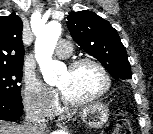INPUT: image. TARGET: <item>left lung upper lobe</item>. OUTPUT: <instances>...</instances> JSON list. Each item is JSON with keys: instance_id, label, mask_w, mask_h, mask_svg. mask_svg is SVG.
Masks as SVG:
<instances>
[{"instance_id": "obj_1", "label": "left lung upper lobe", "mask_w": 153, "mask_h": 134, "mask_svg": "<svg viewBox=\"0 0 153 134\" xmlns=\"http://www.w3.org/2000/svg\"><path fill=\"white\" fill-rule=\"evenodd\" d=\"M67 20L75 42L99 60L114 79H132L126 49L107 20L86 10L70 13Z\"/></svg>"}]
</instances>
